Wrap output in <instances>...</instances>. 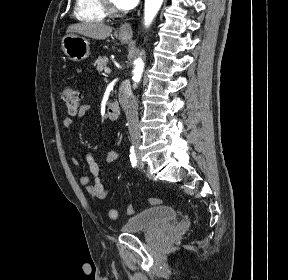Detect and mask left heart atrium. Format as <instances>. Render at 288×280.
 Instances as JSON below:
<instances>
[{
    "instance_id": "39dd6f15",
    "label": "left heart atrium",
    "mask_w": 288,
    "mask_h": 280,
    "mask_svg": "<svg viewBox=\"0 0 288 280\" xmlns=\"http://www.w3.org/2000/svg\"><path fill=\"white\" fill-rule=\"evenodd\" d=\"M117 7L120 9H130L132 8L138 0H114Z\"/></svg>"
}]
</instances>
